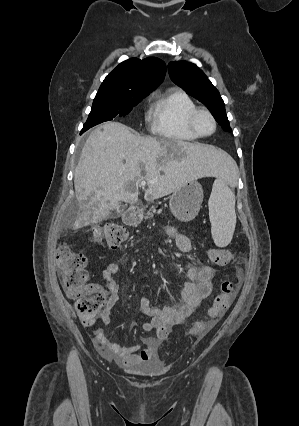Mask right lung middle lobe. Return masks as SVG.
Wrapping results in <instances>:
<instances>
[{"label": "right lung middle lobe", "mask_w": 299, "mask_h": 426, "mask_svg": "<svg viewBox=\"0 0 299 426\" xmlns=\"http://www.w3.org/2000/svg\"><path fill=\"white\" fill-rule=\"evenodd\" d=\"M151 91L127 96L106 89L98 90L93 101L92 109L81 133L115 116L127 115Z\"/></svg>", "instance_id": "dd1d6c3e"}]
</instances>
